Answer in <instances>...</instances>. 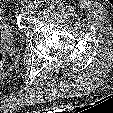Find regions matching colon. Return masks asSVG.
I'll return each instance as SVG.
<instances>
[{
    "mask_svg": "<svg viewBox=\"0 0 113 113\" xmlns=\"http://www.w3.org/2000/svg\"><path fill=\"white\" fill-rule=\"evenodd\" d=\"M5 59H6V54L0 51V68L2 67Z\"/></svg>",
    "mask_w": 113,
    "mask_h": 113,
    "instance_id": "obj_1",
    "label": "colon"
}]
</instances>
